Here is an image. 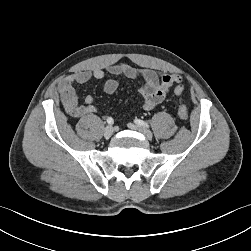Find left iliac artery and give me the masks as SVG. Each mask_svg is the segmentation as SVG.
Segmentation results:
<instances>
[{"instance_id":"obj_1","label":"left iliac artery","mask_w":251,"mask_h":251,"mask_svg":"<svg viewBox=\"0 0 251 251\" xmlns=\"http://www.w3.org/2000/svg\"><path fill=\"white\" fill-rule=\"evenodd\" d=\"M134 122L138 124L139 126H143L145 128H149V124L141 119H135Z\"/></svg>"}]
</instances>
